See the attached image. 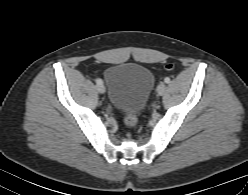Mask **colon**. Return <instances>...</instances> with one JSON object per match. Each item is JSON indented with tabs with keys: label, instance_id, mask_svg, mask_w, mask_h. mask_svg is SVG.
<instances>
[{
	"label": "colon",
	"instance_id": "colon-1",
	"mask_svg": "<svg viewBox=\"0 0 248 195\" xmlns=\"http://www.w3.org/2000/svg\"><path fill=\"white\" fill-rule=\"evenodd\" d=\"M172 66L168 65L167 69H171ZM124 122L128 129H134L137 125V116L134 112H126L124 116Z\"/></svg>",
	"mask_w": 248,
	"mask_h": 195
}]
</instances>
